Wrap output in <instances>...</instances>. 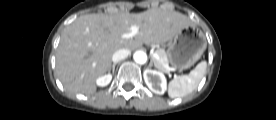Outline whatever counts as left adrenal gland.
<instances>
[{
    "mask_svg": "<svg viewBox=\"0 0 276 120\" xmlns=\"http://www.w3.org/2000/svg\"><path fill=\"white\" fill-rule=\"evenodd\" d=\"M153 63H154V59L152 58V59H151V62H150V64H149V67H151V66L153 65Z\"/></svg>",
    "mask_w": 276,
    "mask_h": 120,
    "instance_id": "a2214340",
    "label": "left adrenal gland"
}]
</instances>
